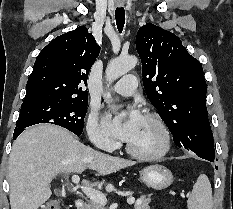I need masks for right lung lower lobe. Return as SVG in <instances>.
Returning a JSON list of instances; mask_svg holds the SVG:
<instances>
[{
  "label": "right lung lower lobe",
  "instance_id": "right-lung-lower-lobe-1",
  "mask_svg": "<svg viewBox=\"0 0 233 209\" xmlns=\"http://www.w3.org/2000/svg\"><path fill=\"white\" fill-rule=\"evenodd\" d=\"M21 132L20 131H18V132L15 131L14 134H13V139L15 140L21 134Z\"/></svg>",
  "mask_w": 233,
  "mask_h": 209
}]
</instances>
